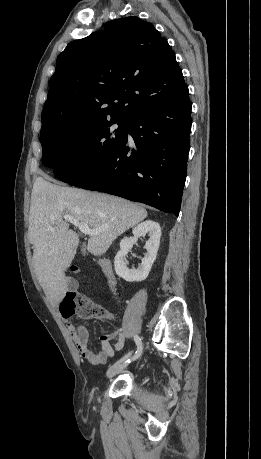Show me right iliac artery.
<instances>
[{"label": "right iliac artery", "mask_w": 261, "mask_h": 459, "mask_svg": "<svg viewBox=\"0 0 261 459\" xmlns=\"http://www.w3.org/2000/svg\"><path fill=\"white\" fill-rule=\"evenodd\" d=\"M134 341H135V343H136V345H137L136 354H135V356L133 357V359L135 360V359H137V358L140 356V354H141V352H142V342H141L140 337L137 336V335L134 336ZM130 354H131V353H129V354H127L126 356H124L120 361H122V362L125 361V362H128V363H129L130 360L127 359V358L130 356Z\"/></svg>", "instance_id": "82829eb1"}]
</instances>
